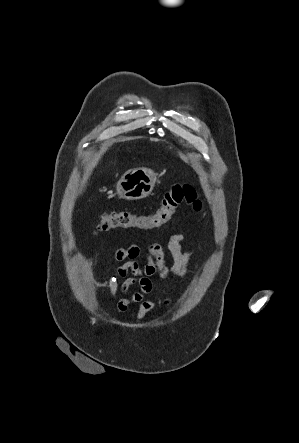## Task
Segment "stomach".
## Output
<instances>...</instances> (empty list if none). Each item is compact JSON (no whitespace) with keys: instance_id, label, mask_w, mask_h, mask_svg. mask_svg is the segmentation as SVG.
Segmentation results:
<instances>
[{"instance_id":"stomach-1","label":"stomach","mask_w":299,"mask_h":443,"mask_svg":"<svg viewBox=\"0 0 299 443\" xmlns=\"http://www.w3.org/2000/svg\"><path fill=\"white\" fill-rule=\"evenodd\" d=\"M155 174L146 168H135L125 172L116 184L120 198L139 200L147 197L155 186Z\"/></svg>"}]
</instances>
